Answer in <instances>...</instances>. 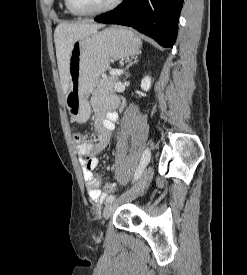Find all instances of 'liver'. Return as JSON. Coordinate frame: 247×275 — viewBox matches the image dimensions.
<instances>
[{"mask_svg": "<svg viewBox=\"0 0 247 275\" xmlns=\"http://www.w3.org/2000/svg\"><path fill=\"white\" fill-rule=\"evenodd\" d=\"M103 24L91 22L60 23L54 32L57 64L63 93L66 95L69 90V57L73 44L78 39L97 32L103 28Z\"/></svg>", "mask_w": 247, "mask_h": 275, "instance_id": "1", "label": "liver"}]
</instances>
